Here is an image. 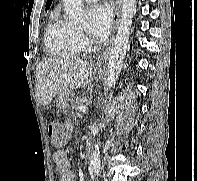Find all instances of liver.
Segmentation results:
<instances>
[{"label":"liver","mask_w":197,"mask_h":181,"mask_svg":"<svg viewBox=\"0 0 197 181\" xmlns=\"http://www.w3.org/2000/svg\"><path fill=\"white\" fill-rule=\"evenodd\" d=\"M94 66L75 57L43 60L36 69L35 95L40 105H48L61 91L85 87L94 75Z\"/></svg>","instance_id":"1"}]
</instances>
